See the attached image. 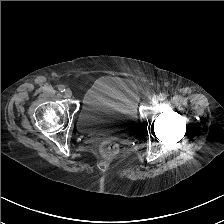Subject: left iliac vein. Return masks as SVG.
Masks as SVG:
<instances>
[{
	"label": "left iliac vein",
	"instance_id": "4c4485c4",
	"mask_svg": "<svg viewBox=\"0 0 224 224\" xmlns=\"http://www.w3.org/2000/svg\"><path fill=\"white\" fill-rule=\"evenodd\" d=\"M158 101H159L158 97H153L151 102H152L153 105H156L158 103Z\"/></svg>",
	"mask_w": 224,
	"mask_h": 224
}]
</instances>
